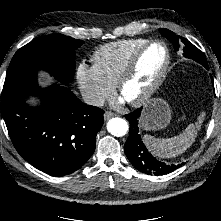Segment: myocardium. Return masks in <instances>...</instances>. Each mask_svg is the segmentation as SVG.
I'll list each match as a JSON object with an SVG mask.
<instances>
[{
    "mask_svg": "<svg viewBox=\"0 0 221 221\" xmlns=\"http://www.w3.org/2000/svg\"><path fill=\"white\" fill-rule=\"evenodd\" d=\"M154 44H160L164 47L166 53L165 62L153 84L140 97L133 100H127V102L130 105L135 107H139L146 104L162 86L171 64V52L167 43L160 39H154V40H148L146 43L140 46L130 57L120 77L116 82L117 91L120 95H122L125 85L133 78L136 72L140 58L142 57L144 52Z\"/></svg>",
    "mask_w": 221,
    "mask_h": 221,
    "instance_id": "1",
    "label": "myocardium"
}]
</instances>
